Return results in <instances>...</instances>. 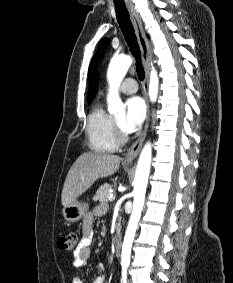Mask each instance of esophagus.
<instances>
[{"mask_svg":"<svg viewBox=\"0 0 233 283\" xmlns=\"http://www.w3.org/2000/svg\"><path fill=\"white\" fill-rule=\"evenodd\" d=\"M130 16H131V21L133 23L137 40L140 46L141 50V55H142V60L144 63V68H145V80H144V98L147 104V118H146V123L143 129L142 134L140 137L134 142V144L130 147L128 152L123 158V161L125 163H131L139 154L140 149L143 145V142L145 140V137L147 135L148 127H149V122H150V108H149V101H148V82H149V70L150 66L152 64V49L150 46V43L145 35L143 24L141 21L140 16L138 13L135 11L133 7H128Z\"/></svg>","mask_w":233,"mask_h":283,"instance_id":"esophagus-1","label":"esophagus"}]
</instances>
